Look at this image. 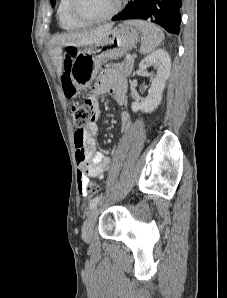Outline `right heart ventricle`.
<instances>
[{"label": "right heart ventricle", "mask_w": 227, "mask_h": 298, "mask_svg": "<svg viewBox=\"0 0 227 298\" xmlns=\"http://www.w3.org/2000/svg\"><path fill=\"white\" fill-rule=\"evenodd\" d=\"M71 0H60L57 6V16L61 28L72 31L78 30L85 24L75 20L70 12Z\"/></svg>", "instance_id": "obj_1"}]
</instances>
